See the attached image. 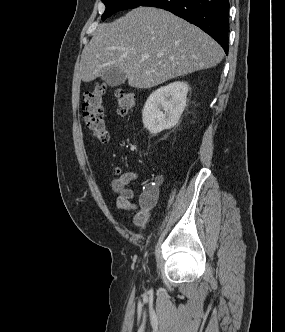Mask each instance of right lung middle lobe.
<instances>
[{
    "label": "right lung middle lobe",
    "instance_id": "right-lung-middle-lobe-1",
    "mask_svg": "<svg viewBox=\"0 0 285 332\" xmlns=\"http://www.w3.org/2000/svg\"><path fill=\"white\" fill-rule=\"evenodd\" d=\"M147 0H102L106 6V10L102 15V20L111 16L113 13L130 8H136Z\"/></svg>",
    "mask_w": 285,
    "mask_h": 332
}]
</instances>
